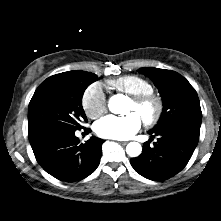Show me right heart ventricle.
Wrapping results in <instances>:
<instances>
[{"label":"right heart ventricle","instance_id":"1","mask_svg":"<svg viewBox=\"0 0 221 221\" xmlns=\"http://www.w3.org/2000/svg\"><path fill=\"white\" fill-rule=\"evenodd\" d=\"M107 86L110 90L125 93L130 96L153 92L152 84L137 75H125L117 79L109 80Z\"/></svg>","mask_w":221,"mask_h":221}]
</instances>
